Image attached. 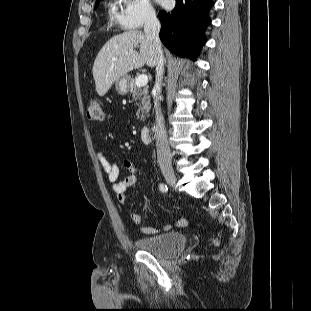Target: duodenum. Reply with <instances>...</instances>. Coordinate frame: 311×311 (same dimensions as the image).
<instances>
[{"label":"duodenum","instance_id":"obj_1","mask_svg":"<svg viewBox=\"0 0 311 311\" xmlns=\"http://www.w3.org/2000/svg\"><path fill=\"white\" fill-rule=\"evenodd\" d=\"M140 134L143 142L145 143L150 142V127L143 126L140 130Z\"/></svg>","mask_w":311,"mask_h":311}]
</instances>
